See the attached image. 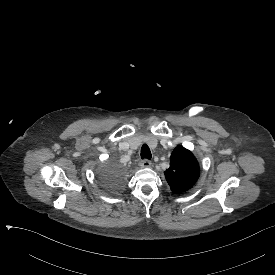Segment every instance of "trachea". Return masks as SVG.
Wrapping results in <instances>:
<instances>
[{"mask_svg":"<svg viewBox=\"0 0 275 275\" xmlns=\"http://www.w3.org/2000/svg\"><path fill=\"white\" fill-rule=\"evenodd\" d=\"M151 157H152V155H151V151H150L149 147L146 144H144L141 147V158H142V160H144V159L150 160Z\"/></svg>","mask_w":275,"mask_h":275,"instance_id":"obj_1","label":"trachea"}]
</instances>
